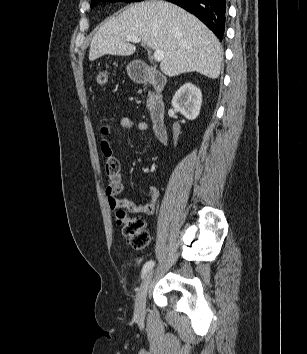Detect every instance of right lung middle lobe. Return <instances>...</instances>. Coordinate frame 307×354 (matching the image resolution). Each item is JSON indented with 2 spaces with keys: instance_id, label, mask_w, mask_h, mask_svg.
<instances>
[{
  "instance_id": "1",
  "label": "right lung middle lobe",
  "mask_w": 307,
  "mask_h": 354,
  "mask_svg": "<svg viewBox=\"0 0 307 354\" xmlns=\"http://www.w3.org/2000/svg\"><path fill=\"white\" fill-rule=\"evenodd\" d=\"M100 1H110V2H116V1H127V2H138L142 0H91V8L96 6Z\"/></svg>"
}]
</instances>
